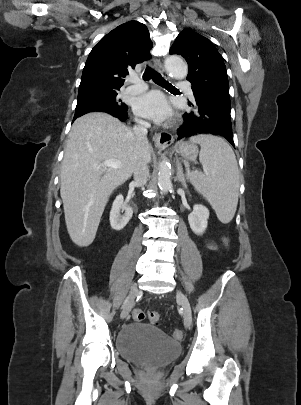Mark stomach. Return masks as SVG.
Returning <instances> with one entry per match:
<instances>
[{
  "label": "stomach",
  "instance_id": "1",
  "mask_svg": "<svg viewBox=\"0 0 301 405\" xmlns=\"http://www.w3.org/2000/svg\"><path fill=\"white\" fill-rule=\"evenodd\" d=\"M175 151L184 159L194 161L197 158L199 149L194 143L182 142L175 147Z\"/></svg>",
  "mask_w": 301,
  "mask_h": 405
}]
</instances>
